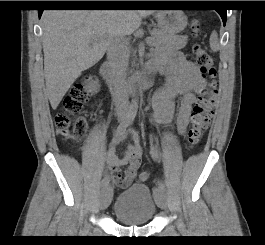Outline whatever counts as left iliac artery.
Listing matches in <instances>:
<instances>
[{
	"instance_id": "left-iliac-artery-1",
	"label": "left iliac artery",
	"mask_w": 265,
	"mask_h": 245,
	"mask_svg": "<svg viewBox=\"0 0 265 245\" xmlns=\"http://www.w3.org/2000/svg\"><path fill=\"white\" fill-rule=\"evenodd\" d=\"M150 154L152 155V157H156V151L153 147L150 150ZM159 191H165V184L162 181H159L158 187L154 188V194H158Z\"/></svg>"
}]
</instances>
